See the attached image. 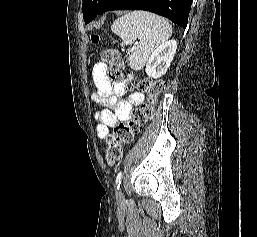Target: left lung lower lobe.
Here are the masks:
<instances>
[{
  "label": "left lung lower lobe",
  "mask_w": 257,
  "mask_h": 237,
  "mask_svg": "<svg viewBox=\"0 0 257 237\" xmlns=\"http://www.w3.org/2000/svg\"><path fill=\"white\" fill-rule=\"evenodd\" d=\"M191 4L192 0H108L98 14L112 10H146L167 17L185 29Z\"/></svg>",
  "instance_id": "left-lung-lower-lobe-1"
}]
</instances>
